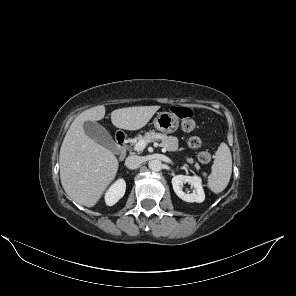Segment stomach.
Segmentation results:
<instances>
[{
	"mask_svg": "<svg viewBox=\"0 0 296 296\" xmlns=\"http://www.w3.org/2000/svg\"><path fill=\"white\" fill-rule=\"evenodd\" d=\"M153 124L158 131L170 134L178 129L179 119L172 112H160L155 117Z\"/></svg>",
	"mask_w": 296,
	"mask_h": 296,
	"instance_id": "stomach-1",
	"label": "stomach"
}]
</instances>
